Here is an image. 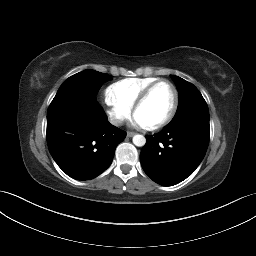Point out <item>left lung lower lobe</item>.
<instances>
[{
    "mask_svg": "<svg viewBox=\"0 0 256 256\" xmlns=\"http://www.w3.org/2000/svg\"><path fill=\"white\" fill-rule=\"evenodd\" d=\"M146 137L140 153L143 170L160 185H175L190 176L204 158L210 138L209 121L187 117Z\"/></svg>",
    "mask_w": 256,
    "mask_h": 256,
    "instance_id": "0a47b994",
    "label": "left lung lower lobe"
}]
</instances>
